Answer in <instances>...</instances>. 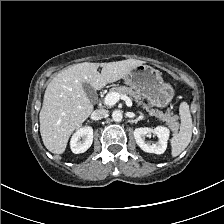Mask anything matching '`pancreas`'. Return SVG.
Wrapping results in <instances>:
<instances>
[{
	"label": "pancreas",
	"instance_id": "cf45deb5",
	"mask_svg": "<svg viewBox=\"0 0 224 224\" xmlns=\"http://www.w3.org/2000/svg\"><path fill=\"white\" fill-rule=\"evenodd\" d=\"M112 92H117L120 95L128 96L129 98L133 99L138 106H142L144 109H146V111L149 112L151 116H155L156 118H159L161 121L166 122V124L173 131L177 130L178 128L177 116H172L170 113H163L159 110H155L151 108L149 105L143 103L141 95L138 92L134 91L131 87L117 85L109 90V93Z\"/></svg>",
	"mask_w": 224,
	"mask_h": 224
}]
</instances>
